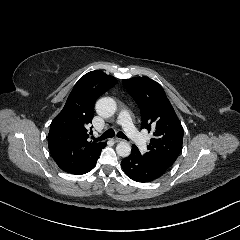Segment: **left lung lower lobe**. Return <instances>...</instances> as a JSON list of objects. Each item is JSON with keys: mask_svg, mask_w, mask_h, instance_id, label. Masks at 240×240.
<instances>
[{"mask_svg": "<svg viewBox=\"0 0 240 240\" xmlns=\"http://www.w3.org/2000/svg\"><path fill=\"white\" fill-rule=\"evenodd\" d=\"M121 166L130 179L142 183L154 181L167 170L154 165L134 150L122 160Z\"/></svg>", "mask_w": 240, "mask_h": 240, "instance_id": "1", "label": "left lung lower lobe"}]
</instances>
